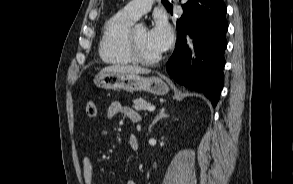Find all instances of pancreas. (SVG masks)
Returning <instances> with one entry per match:
<instances>
[{
  "mask_svg": "<svg viewBox=\"0 0 293 184\" xmlns=\"http://www.w3.org/2000/svg\"><path fill=\"white\" fill-rule=\"evenodd\" d=\"M151 103L146 101L143 98H137L135 100H133V108L136 111H144L147 109L148 106H150Z\"/></svg>",
  "mask_w": 293,
  "mask_h": 184,
  "instance_id": "1",
  "label": "pancreas"
}]
</instances>
